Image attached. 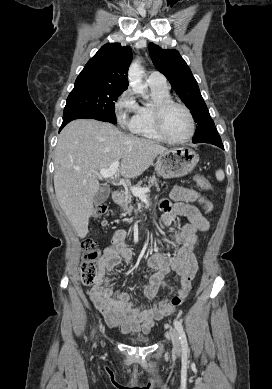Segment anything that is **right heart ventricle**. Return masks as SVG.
Returning <instances> with one entry per match:
<instances>
[{"mask_svg":"<svg viewBox=\"0 0 272 389\" xmlns=\"http://www.w3.org/2000/svg\"><path fill=\"white\" fill-rule=\"evenodd\" d=\"M150 87L152 102L145 105H137L136 112L129 122V130L139 136L153 140H164L156 131L153 123V107L162 100L170 98L169 90L159 87Z\"/></svg>","mask_w":272,"mask_h":389,"instance_id":"obj_1","label":"right heart ventricle"}]
</instances>
